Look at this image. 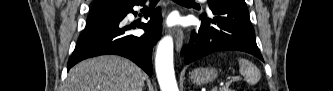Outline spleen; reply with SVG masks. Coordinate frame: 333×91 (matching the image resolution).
<instances>
[{
    "label": "spleen",
    "instance_id": "spleen-1",
    "mask_svg": "<svg viewBox=\"0 0 333 91\" xmlns=\"http://www.w3.org/2000/svg\"><path fill=\"white\" fill-rule=\"evenodd\" d=\"M239 72L245 78L246 82L250 85L256 84L261 74L259 69L249 60L240 58L239 60Z\"/></svg>",
    "mask_w": 333,
    "mask_h": 91
}]
</instances>
